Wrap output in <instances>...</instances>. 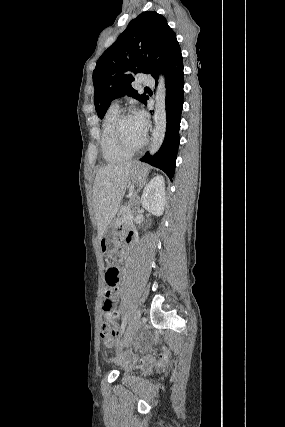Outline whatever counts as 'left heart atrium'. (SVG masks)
<instances>
[{
    "mask_svg": "<svg viewBox=\"0 0 285 427\" xmlns=\"http://www.w3.org/2000/svg\"><path fill=\"white\" fill-rule=\"evenodd\" d=\"M137 123L142 131V133L144 135H146L147 133V129H148V119L147 116L144 112H139L136 116H135Z\"/></svg>",
    "mask_w": 285,
    "mask_h": 427,
    "instance_id": "1",
    "label": "left heart atrium"
}]
</instances>
